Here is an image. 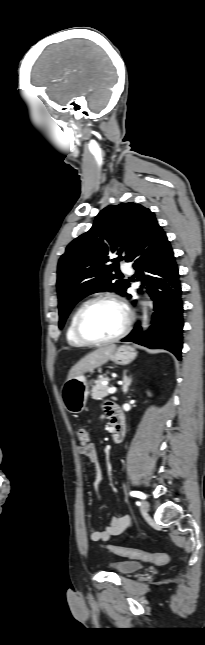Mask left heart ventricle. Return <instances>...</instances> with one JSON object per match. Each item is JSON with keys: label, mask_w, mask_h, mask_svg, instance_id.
Wrapping results in <instances>:
<instances>
[{"label": "left heart ventricle", "mask_w": 205, "mask_h": 645, "mask_svg": "<svg viewBox=\"0 0 205 645\" xmlns=\"http://www.w3.org/2000/svg\"><path fill=\"white\" fill-rule=\"evenodd\" d=\"M124 314L121 308L110 302L91 307L83 320L84 332L93 339H105L117 334L123 327Z\"/></svg>", "instance_id": "obj_1"}]
</instances>
